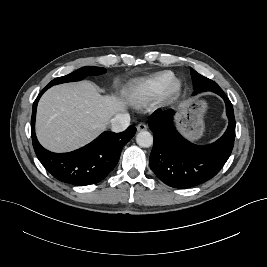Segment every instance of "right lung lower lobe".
Masks as SVG:
<instances>
[{
    "mask_svg": "<svg viewBox=\"0 0 267 267\" xmlns=\"http://www.w3.org/2000/svg\"><path fill=\"white\" fill-rule=\"evenodd\" d=\"M33 103L31 117L32 141L35 153L56 179L77 186L96 184L103 180L117 165L123 146L135 135L136 128L129 126L124 132L105 131L88 145L69 153H53L43 148L35 135V116L41 95Z\"/></svg>",
    "mask_w": 267,
    "mask_h": 267,
    "instance_id": "98d812e1",
    "label": "right lung lower lobe"
}]
</instances>
